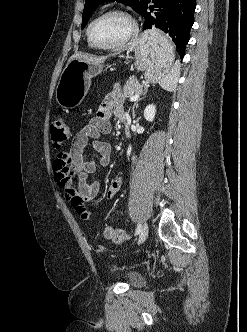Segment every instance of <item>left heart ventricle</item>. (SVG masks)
<instances>
[{"label":"left heart ventricle","instance_id":"left-heart-ventricle-1","mask_svg":"<svg viewBox=\"0 0 247 332\" xmlns=\"http://www.w3.org/2000/svg\"><path fill=\"white\" fill-rule=\"evenodd\" d=\"M129 28V22L124 17L108 15L95 22L92 37L98 44L111 45L119 42L128 33Z\"/></svg>","mask_w":247,"mask_h":332}]
</instances>
